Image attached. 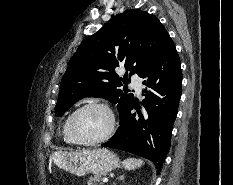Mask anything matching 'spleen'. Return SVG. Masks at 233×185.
I'll return each mask as SVG.
<instances>
[{"label":"spleen","instance_id":"3e777b00","mask_svg":"<svg viewBox=\"0 0 233 185\" xmlns=\"http://www.w3.org/2000/svg\"><path fill=\"white\" fill-rule=\"evenodd\" d=\"M143 164V160L136 158H127L122 162L123 167L129 171L135 170L136 168H140Z\"/></svg>","mask_w":233,"mask_h":185}]
</instances>
